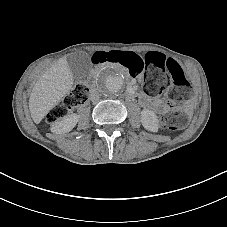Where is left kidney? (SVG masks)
Listing matches in <instances>:
<instances>
[{"label": "left kidney", "mask_w": 227, "mask_h": 227, "mask_svg": "<svg viewBox=\"0 0 227 227\" xmlns=\"http://www.w3.org/2000/svg\"><path fill=\"white\" fill-rule=\"evenodd\" d=\"M142 124L143 126L150 131H157V117L156 115L149 110L142 111Z\"/></svg>", "instance_id": "5707ae66"}]
</instances>
